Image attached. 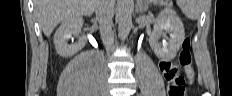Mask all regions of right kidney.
<instances>
[{
    "label": "right kidney",
    "mask_w": 232,
    "mask_h": 96,
    "mask_svg": "<svg viewBox=\"0 0 232 96\" xmlns=\"http://www.w3.org/2000/svg\"><path fill=\"white\" fill-rule=\"evenodd\" d=\"M82 25L83 19L78 15L66 18L62 21L54 35L55 48L60 56L71 57L84 47V39L75 44H68V39H70L72 35H79Z\"/></svg>",
    "instance_id": "1"
}]
</instances>
